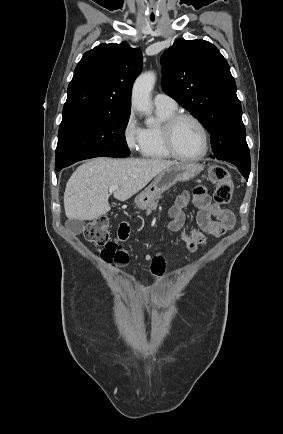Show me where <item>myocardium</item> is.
Returning <instances> with one entry per match:
<instances>
[{
	"mask_svg": "<svg viewBox=\"0 0 283 434\" xmlns=\"http://www.w3.org/2000/svg\"><path fill=\"white\" fill-rule=\"evenodd\" d=\"M183 119H189L196 124L199 128L201 136H202V149L196 155H183L179 153L174 145V129L177 123ZM162 136L163 142L168 153L179 160L182 161H197L202 159L208 152L209 149V135L205 125L202 121L196 117L195 115L188 112H176L171 117H169L162 126Z\"/></svg>",
	"mask_w": 283,
	"mask_h": 434,
	"instance_id": "obj_1",
	"label": "myocardium"
}]
</instances>
